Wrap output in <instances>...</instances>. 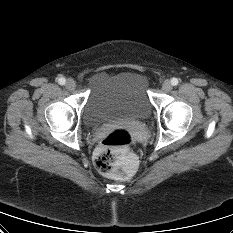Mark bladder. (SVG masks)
<instances>
[{
    "label": "bladder",
    "instance_id": "31cf9c89",
    "mask_svg": "<svg viewBox=\"0 0 233 233\" xmlns=\"http://www.w3.org/2000/svg\"><path fill=\"white\" fill-rule=\"evenodd\" d=\"M148 89V77L137 70L95 74L83 107L84 122L93 128L110 121L147 119L152 112Z\"/></svg>",
    "mask_w": 233,
    "mask_h": 233
}]
</instances>
